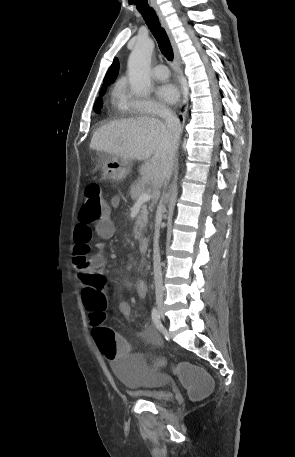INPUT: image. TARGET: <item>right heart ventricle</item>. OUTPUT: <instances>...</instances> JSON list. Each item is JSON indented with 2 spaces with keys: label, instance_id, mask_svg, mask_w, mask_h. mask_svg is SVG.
Instances as JSON below:
<instances>
[{
  "label": "right heart ventricle",
  "instance_id": "obj_1",
  "mask_svg": "<svg viewBox=\"0 0 295 457\" xmlns=\"http://www.w3.org/2000/svg\"><path fill=\"white\" fill-rule=\"evenodd\" d=\"M111 101L113 107L122 115H128L132 113V109L129 103V96L125 92L122 83H118L114 86L111 94Z\"/></svg>",
  "mask_w": 295,
  "mask_h": 457
}]
</instances>
